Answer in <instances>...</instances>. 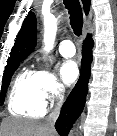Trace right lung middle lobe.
Wrapping results in <instances>:
<instances>
[{"label": "right lung middle lobe", "instance_id": "right-lung-middle-lobe-1", "mask_svg": "<svg viewBox=\"0 0 117 136\" xmlns=\"http://www.w3.org/2000/svg\"><path fill=\"white\" fill-rule=\"evenodd\" d=\"M23 60L24 59H17V60L8 61L5 71H4V76H3V81H2L1 103L4 102L6 91L9 86V83L11 81V77H12L13 73L18 68L19 63Z\"/></svg>", "mask_w": 117, "mask_h": 136}]
</instances>
